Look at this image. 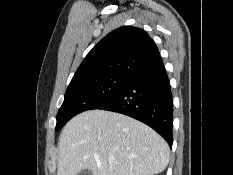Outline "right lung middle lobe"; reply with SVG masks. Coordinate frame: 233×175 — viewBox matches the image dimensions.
I'll return each instance as SVG.
<instances>
[{"label":"right lung middle lobe","mask_w":233,"mask_h":175,"mask_svg":"<svg viewBox=\"0 0 233 175\" xmlns=\"http://www.w3.org/2000/svg\"><path fill=\"white\" fill-rule=\"evenodd\" d=\"M132 78L125 74H106L70 83L57 114L56 130L75 115L96 109L113 98Z\"/></svg>","instance_id":"right-lung-middle-lobe-1"}]
</instances>
